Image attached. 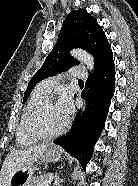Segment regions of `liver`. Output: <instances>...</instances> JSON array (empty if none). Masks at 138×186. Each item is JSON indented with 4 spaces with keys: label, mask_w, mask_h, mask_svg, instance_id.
Masks as SVG:
<instances>
[{
    "label": "liver",
    "mask_w": 138,
    "mask_h": 186,
    "mask_svg": "<svg viewBox=\"0 0 138 186\" xmlns=\"http://www.w3.org/2000/svg\"><path fill=\"white\" fill-rule=\"evenodd\" d=\"M48 147V143H43L25 149L11 150L1 168L0 186H9V178L12 173L33 166L41 159Z\"/></svg>",
    "instance_id": "obj_1"
}]
</instances>
